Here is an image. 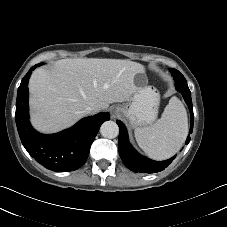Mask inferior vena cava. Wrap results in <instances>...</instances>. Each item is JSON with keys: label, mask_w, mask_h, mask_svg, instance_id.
Returning <instances> with one entry per match:
<instances>
[{"label": "inferior vena cava", "mask_w": 227, "mask_h": 227, "mask_svg": "<svg viewBox=\"0 0 227 227\" xmlns=\"http://www.w3.org/2000/svg\"><path fill=\"white\" fill-rule=\"evenodd\" d=\"M83 112H84L85 114H91V113H95V109H94V107H92V106H87V107L83 110Z\"/></svg>", "instance_id": "1"}]
</instances>
